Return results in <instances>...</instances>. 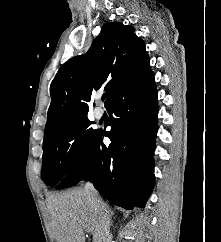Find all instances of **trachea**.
Instances as JSON below:
<instances>
[{
	"mask_svg": "<svg viewBox=\"0 0 221 242\" xmlns=\"http://www.w3.org/2000/svg\"><path fill=\"white\" fill-rule=\"evenodd\" d=\"M104 99H105V95L102 96V100H104Z\"/></svg>",
	"mask_w": 221,
	"mask_h": 242,
	"instance_id": "1",
	"label": "trachea"
}]
</instances>
